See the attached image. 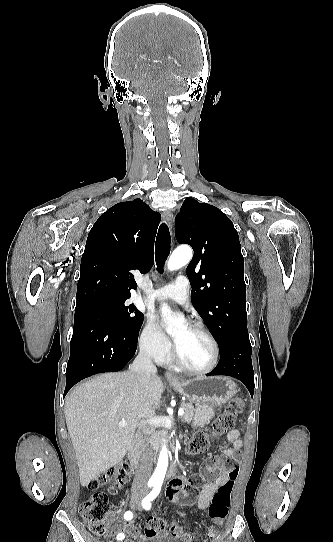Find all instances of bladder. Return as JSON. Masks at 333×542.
Listing matches in <instances>:
<instances>
[{
    "mask_svg": "<svg viewBox=\"0 0 333 542\" xmlns=\"http://www.w3.org/2000/svg\"><path fill=\"white\" fill-rule=\"evenodd\" d=\"M148 542H179L176 538H174L172 535L164 534V535H158Z\"/></svg>",
    "mask_w": 333,
    "mask_h": 542,
    "instance_id": "1",
    "label": "bladder"
}]
</instances>
